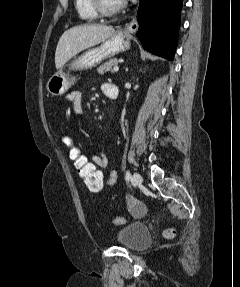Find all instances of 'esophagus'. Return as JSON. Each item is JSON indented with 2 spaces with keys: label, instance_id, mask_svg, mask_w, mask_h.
<instances>
[{
  "label": "esophagus",
  "instance_id": "34e87169",
  "mask_svg": "<svg viewBox=\"0 0 240 287\" xmlns=\"http://www.w3.org/2000/svg\"><path fill=\"white\" fill-rule=\"evenodd\" d=\"M138 29V22L136 20V18L134 17L131 22H129L128 24L125 25V27L123 28V32L124 33H134L136 32Z\"/></svg>",
  "mask_w": 240,
  "mask_h": 287
}]
</instances>
